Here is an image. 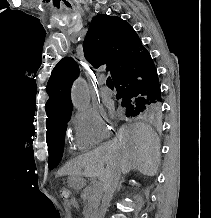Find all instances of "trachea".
I'll use <instances>...</instances> for the list:
<instances>
[{"mask_svg":"<svg viewBox=\"0 0 211 218\" xmlns=\"http://www.w3.org/2000/svg\"><path fill=\"white\" fill-rule=\"evenodd\" d=\"M106 83H107V84H113V81L111 80V77H108V78H107Z\"/></svg>","mask_w":211,"mask_h":218,"instance_id":"trachea-1","label":"trachea"}]
</instances>
